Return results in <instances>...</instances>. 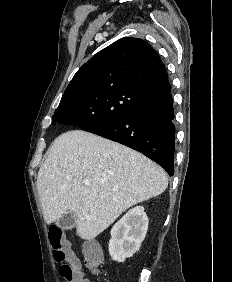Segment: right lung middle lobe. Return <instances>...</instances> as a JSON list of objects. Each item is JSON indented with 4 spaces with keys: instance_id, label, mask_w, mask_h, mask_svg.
<instances>
[{
    "instance_id": "1",
    "label": "right lung middle lobe",
    "mask_w": 232,
    "mask_h": 282,
    "mask_svg": "<svg viewBox=\"0 0 232 282\" xmlns=\"http://www.w3.org/2000/svg\"><path fill=\"white\" fill-rule=\"evenodd\" d=\"M148 99L129 89H110L79 95L61 101L51 124L62 123L80 128L112 122L137 112Z\"/></svg>"
}]
</instances>
